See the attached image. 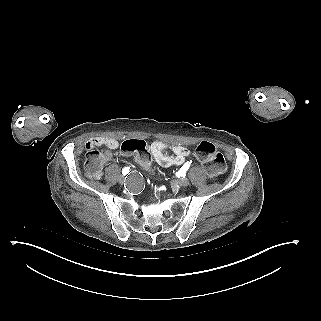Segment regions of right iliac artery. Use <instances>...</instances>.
<instances>
[{
    "label": "right iliac artery",
    "instance_id": "1",
    "mask_svg": "<svg viewBox=\"0 0 321 321\" xmlns=\"http://www.w3.org/2000/svg\"><path fill=\"white\" fill-rule=\"evenodd\" d=\"M130 172V168L129 167H125V168H123V170H122V174L123 175H126V174H128Z\"/></svg>",
    "mask_w": 321,
    "mask_h": 321
}]
</instances>
